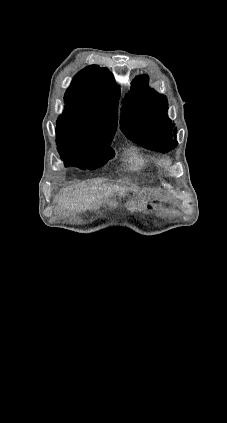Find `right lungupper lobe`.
I'll list each match as a JSON object with an SVG mask.
<instances>
[{
  "instance_id": "right-lung-upper-lobe-1",
  "label": "right lung upper lobe",
  "mask_w": 227,
  "mask_h": 423,
  "mask_svg": "<svg viewBox=\"0 0 227 423\" xmlns=\"http://www.w3.org/2000/svg\"><path fill=\"white\" fill-rule=\"evenodd\" d=\"M120 89L106 68L92 65L79 72L65 94L56 141L113 137L117 129Z\"/></svg>"
}]
</instances>
